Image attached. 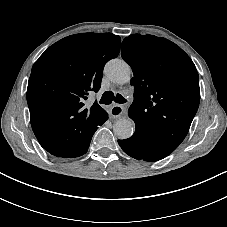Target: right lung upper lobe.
I'll return each instance as SVG.
<instances>
[{
  "instance_id": "cb5924a9",
  "label": "right lung upper lobe",
  "mask_w": 227,
  "mask_h": 227,
  "mask_svg": "<svg viewBox=\"0 0 227 227\" xmlns=\"http://www.w3.org/2000/svg\"><path fill=\"white\" fill-rule=\"evenodd\" d=\"M112 33H81L50 46L34 63L27 102L31 126L43 148L70 153L88 144L107 119L97 101L84 108L88 92H97L103 68L120 50Z\"/></svg>"
}]
</instances>
